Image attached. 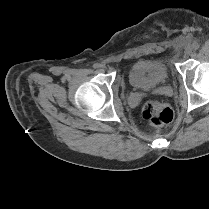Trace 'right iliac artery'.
Listing matches in <instances>:
<instances>
[{"label":"right iliac artery","mask_w":209,"mask_h":209,"mask_svg":"<svg viewBox=\"0 0 209 209\" xmlns=\"http://www.w3.org/2000/svg\"><path fill=\"white\" fill-rule=\"evenodd\" d=\"M93 67L96 69V68H99L100 65L96 63V64L93 65Z\"/></svg>","instance_id":"1"}]
</instances>
